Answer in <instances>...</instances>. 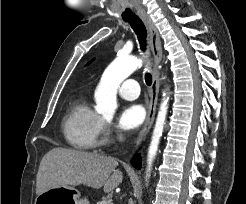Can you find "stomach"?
<instances>
[{
	"label": "stomach",
	"instance_id": "1",
	"mask_svg": "<svg viewBox=\"0 0 246 204\" xmlns=\"http://www.w3.org/2000/svg\"><path fill=\"white\" fill-rule=\"evenodd\" d=\"M34 204H89L79 191L70 186L54 187L37 195Z\"/></svg>",
	"mask_w": 246,
	"mask_h": 204
}]
</instances>
